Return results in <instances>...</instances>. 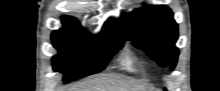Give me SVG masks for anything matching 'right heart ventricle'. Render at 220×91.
Segmentation results:
<instances>
[{"label":"right heart ventricle","mask_w":220,"mask_h":91,"mask_svg":"<svg viewBox=\"0 0 220 91\" xmlns=\"http://www.w3.org/2000/svg\"><path fill=\"white\" fill-rule=\"evenodd\" d=\"M121 67L130 72H139L140 69L137 67L133 57L129 52H125L120 60Z\"/></svg>","instance_id":"e07e8e85"}]
</instances>
